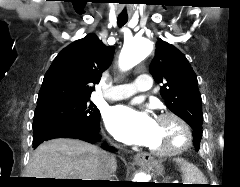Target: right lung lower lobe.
<instances>
[{"label": "right lung lower lobe", "mask_w": 240, "mask_h": 187, "mask_svg": "<svg viewBox=\"0 0 240 187\" xmlns=\"http://www.w3.org/2000/svg\"><path fill=\"white\" fill-rule=\"evenodd\" d=\"M99 131L100 119L97 123L85 127H77L65 122L51 121L34 128L33 147L36 148L42 142L55 138H75L94 144L101 139ZM102 147L108 151H114L113 147H109L106 144H103ZM101 186L113 185L105 184Z\"/></svg>", "instance_id": "1"}]
</instances>
